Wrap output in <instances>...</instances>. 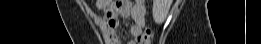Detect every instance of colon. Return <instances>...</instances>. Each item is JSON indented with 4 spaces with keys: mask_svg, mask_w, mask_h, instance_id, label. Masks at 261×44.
I'll list each match as a JSON object with an SVG mask.
<instances>
[{
    "mask_svg": "<svg viewBox=\"0 0 261 44\" xmlns=\"http://www.w3.org/2000/svg\"><path fill=\"white\" fill-rule=\"evenodd\" d=\"M99 6H116L118 8H123L124 6H132V1H113V0H103L98 2ZM152 37V30L150 27H146L141 35L136 39L137 44H150Z\"/></svg>",
    "mask_w": 261,
    "mask_h": 44,
    "instance_id": "colon-1",
    "label": "colon"
}]
</instances>
